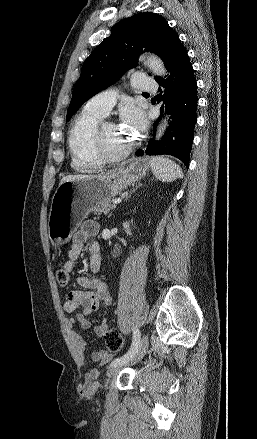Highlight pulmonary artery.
<instances>
[{"label":"pulmonary artery","instance_id":"obj_1","mask_svg":"<svg viewBox=\"0 0 257 439\" xmlns=\"http://www.w3.org/2000/svg\"><path fill=\"white\" fill-rule=\"evenodd\" d=\"M131 85L140 93H153L157 90L156 81L144 73H136L131 76ZM117 100V92L113 89L104 90L93 96L85 105L90 111L107 115Z\"/></svg>","mask_w":257,"mask_h":439}]
</instances>
